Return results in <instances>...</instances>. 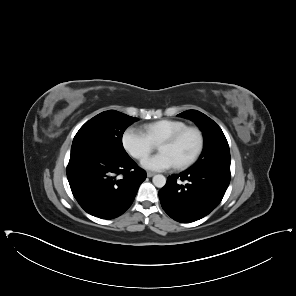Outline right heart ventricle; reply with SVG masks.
Instances as JSON below:
<instances>
[{
    "label": "right heart ventricle",
    "instance_id": "obj_1",
    "mask_svg": "<svg viewBox=\"0 0 296 296\" xmlns=\"http://www.w3.org/2000/svg\"><path fill=\"white\" fill-rule=\"evenodd\" d=\"M186 128L188 127L183 122L162 120L149 125L146 133L156 146H162L168 139Z\"/></svg>",
    "mask_w": 296,
    "mask_h": 296
}]
</instances>
